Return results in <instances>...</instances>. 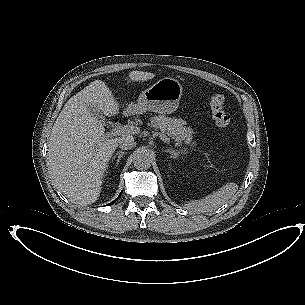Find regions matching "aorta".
<instances>
[{
    "label": "aorta",
    "mask_w": 305,
    "mask_h": 305,
    "mask_svg": "<svg viewBox=\"0 0 305 305\" xmlns=\"http://www.w3.org/2000/svg\"><path fill=\"white\" fill-rule=\"evenodd\" d=\"M152 163V155L148 150H140L134 156L133 164L136 169H148Z\"/></svg>",
    "instance_id": "762f6f07"
}]
</instances>
